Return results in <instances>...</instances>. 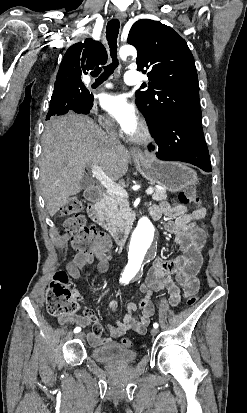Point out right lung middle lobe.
<instances>
[{
    "label": "right lung middle lobe",
    "instance_id": "right-lung-middle-lobe-1",
    "mask_svg": "<svg viewBox=\"0 0 247 413\" xmlns=\"http://www.w3.org/2000/svg\"><path fill=\"white\" fill-rule=\"evenodd\" d=\"M89 93L82 81L55 83L52 98L77 96Z\"/></svg>",
    "mask_w": 247,
    "mask_h": 413
}]
</instances>
